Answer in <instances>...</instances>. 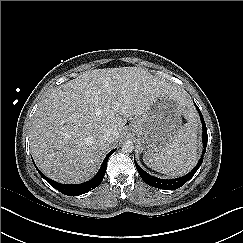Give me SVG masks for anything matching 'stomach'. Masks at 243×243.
Wrapping results in <instances>:
<instances>
[{
	"instance_id": "1",
	"label": "stomach",
	"mask_w": 243,
	"mask_h": 243,
	"mask_svg": "<svg viewBox=\"0 0 243 243\" xmlns=\"http://www.w3.org/2000/svg\"><path fill=\"white\" fill-rule=\"evenodd\" d=\"M178 102L169 96L156 98L149 108L131 123L139 149L146 155L159 153L171 144L182 124Z\"/></svg>"
}]
</instances>
